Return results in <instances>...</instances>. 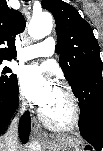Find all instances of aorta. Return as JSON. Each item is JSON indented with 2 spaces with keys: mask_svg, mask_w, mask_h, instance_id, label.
I'll use <instances>...</instances> for the list:
<instances>
[{
  "mask_svg": "<svg viewBox=\"0 0 103 151\" xmlns=\"http://www.w3.org/2000/svg\"><path fill=\"white\" fill-rule=\"evenodd\" d=\"M52 27V15L49 12H42L32 17L28 26V33L34 39H42L51 33Z\"/></svg>",
  "mask_w": 103,
  "mask_h": 151,
  "instance_id": "1",
  "label": "aorta"
}]
</instances>
